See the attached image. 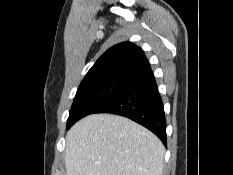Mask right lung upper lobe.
Here are the masks:
<instances>
[{"mask_svg":"<svg viewBox=\"0 0 233 175\" xmlns=\"http://www.w3.org/2000/svg\"><path fill=\"white\" fill-rule=\"evenodd\" d=\"M150 70L143 50L131 42H122L101 55L83 80L114 75L135 79Z\"/></svg>","mask_w":233,"mask_h":175,"instance_id":"right-lung-upper-lobe-1","label":"right lung upper lobe"}]
</instances>
